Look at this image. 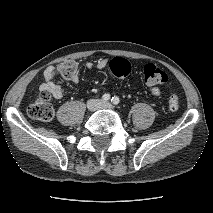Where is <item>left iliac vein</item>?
Listing matches in <instances>:
<instances>
[{
  "label": "left iliac vein",
  "instance_id": "left-iliac-vein-1",
  "mask_svg": "<svg viewBox=\"0 0 213 213\" xmlns=\"http://www.w3.org/2000/svg\"><path fill=\"white\" fill-rule=\"evenodd\" d=\"M102 108H108V109H111L112 108V105L108 102H104L102 105H101Z\"/></svg>",
  "mask_w": 213,
  "mask_h": 213
}]
</instances>
